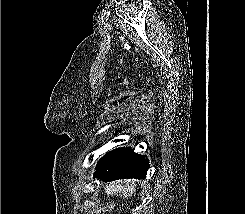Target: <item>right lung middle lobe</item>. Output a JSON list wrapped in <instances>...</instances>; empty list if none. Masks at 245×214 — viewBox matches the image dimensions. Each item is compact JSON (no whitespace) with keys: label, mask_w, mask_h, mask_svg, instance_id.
<instances>
[{"label":"right lung middle lobe","mask_w":245,"mask_h":214,"mask_svg":"<svg viewBox=\"0 0 245 214\" xmlns=\"http://www.w3.org/2000/svg\"><path fill=\"white\" fill-rule=\"evenodd\" d=\"M119 158L120 153L118 149L105 154L97 163L96 172L94 173V176L115 170L118 167Z\"/></svg>","instance_id":"obj_1"}]
</instances>
